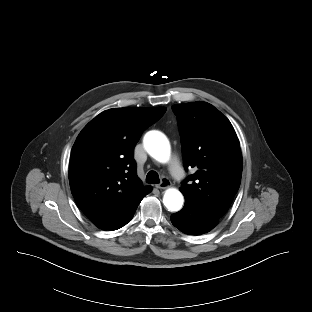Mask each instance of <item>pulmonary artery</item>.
I'll return each instance as SVG.
<instances>
[{
    "label": "pulmonary artery",
    "instance_id": "e3ab8cb5",
    "mask_svg": "<svg viewBox=\"0 0 312 312\" xmlns=\"http://www.w3.org/2000/svg\"><path fill=\"white\" fill-rule=\"evenodd\" d=\"M170 171L173 177L179 182L184 183L185 174L177 158H173L170 165Z\"/></svg>",
    "mask_w": 312,
    "mask_h": 312
}]
</instances>
